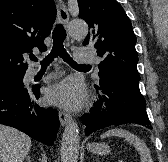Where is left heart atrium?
<instances>
[{"label": "left heart atrium", "instance_id": "left-heart-atrium-1", "mask_svg": "<svg viewBox=\"0 0 168 162\" xmlns=\"http://www.w3.org/2000/svg\"><path fill=\"white\" fill-rule=\"evenodd\" d=\"M47 99L67 108H79L85 101V91L81 82L75 78H68L51 87L47 92Z\"/></svg>", "mask_w": 168, "mask_h": 162}]
</instances>
